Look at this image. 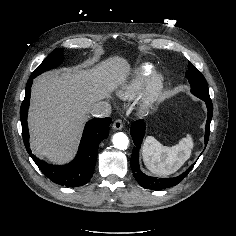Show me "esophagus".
I'll list each match as a JSON object with an SVG mask.
<instances>
[{"label":"esophagus","instance_id":"esophagus-1","mask_svg":"<svg viewBox=\"0 0 236 236\" xmlns=\"http://www.w3.org/2000/svg\"><path fill=\"white\" fill-rule=\"evenodd\" d=\"M112 128L114 130H121L123 128V123L120 119H117L114 121L113 125H112Z\"/></svg>","mask_w":236,"mask_h":236}]
</instances>
